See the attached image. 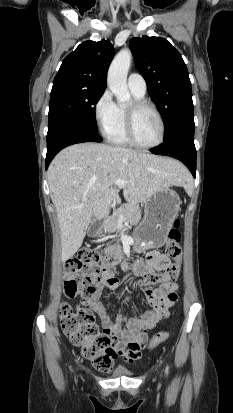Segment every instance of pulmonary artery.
Wrapping results in <instances>:
<instances>
[{
  "mask_svg": "<svg viewBox=\"0 0 233 413\" xmlns=\"http://www.w3.org/2000/svg\"><path fill=\"white\" fill-rule=\"evenodd\" d=\"M130 91L138 96L143 97L147 91L145 79L139 73H131L127 80Z\"/></svg>",
  "mask_w": 233,
  "mask_h": 413,
  "instance_id": "obj_1",
  "label": "pulmonary artery"
}]
</instances>
